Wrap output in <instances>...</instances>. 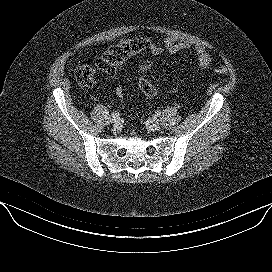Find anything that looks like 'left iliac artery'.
I'll list each match as a JSON object with an SVG mask.
<instances>
[{
	"mask_svg": "<svg viewBox=\"0 0 272 272\" xmlns=\"http://www.w3.org/2000/svg\"><path fill=\"white\" fill-rule=\"evenodd\" d=\"M156 115H157L158 117H160V116H161V112H160V111H157V112H156Z\"/></svg>",
	"mask_w": 272,
	"mask_h": 272,
	"instance_id": "1",
	"label": "left iliac artery"
}]
</instances>
